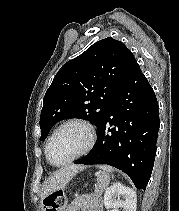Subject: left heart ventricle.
I'll return each instance as SVG.
<instances>
[{
	"label": "left heart ventricle",
	"mask_w": 179,
	"mask_h": 211,
	"mask_svg": "<svg viewBox=\"0 0 179 211\" xmlns=\"http://www.w3.org/2000/svg\"><path fill=\"white\" fill-rule=\"evenodd\" d=\"M86 131L78 125L62 128L49 145V157L55 164L68 161L86 144Z\"/></svg>",
	"instance_id": "obj_1"
}]
</instances>
